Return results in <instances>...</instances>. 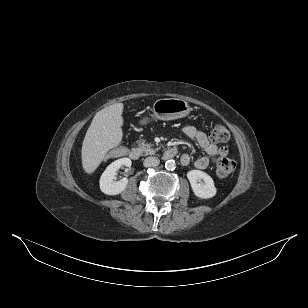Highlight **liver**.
<instances>
[{
    "label": "liver",
    "mask_w": 308,
    "mask_h": 308,
    "mask_svg": "<svg viewBox=\"0 0 308 308\" xmlns=\"http://www.w3.org/2000/svg\"><path fill=\"white\" fill-rule=\"evenodd\" d=\"M122 103H115L94 116L82 144V166L86 173H93L106 153L118 146L123 137Z\"/></svg>",
    "instance_id": "obj_1"
}]
</instances>
